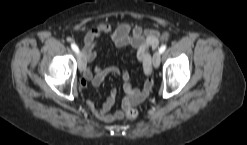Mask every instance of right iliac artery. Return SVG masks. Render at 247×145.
Masks as SVG:
<instances>
[{
  "instance_id": "82829eb1",
  "label": "right iliac artery",
  "mask_w": 247,
  "mask_h": 145,
  "mask_svg": "<svg viewBox=\"0 0 247 145\" xmlns=\"http://www.w3.org/2000/svg\"><path fill=\"white\" fill-rule=\"evenodd\" d=\"M71 48L73 49V51L75 52V53H79V48H78V46L75 44V43H72L71 44Z\"/></svg>"
}]
</instances>
